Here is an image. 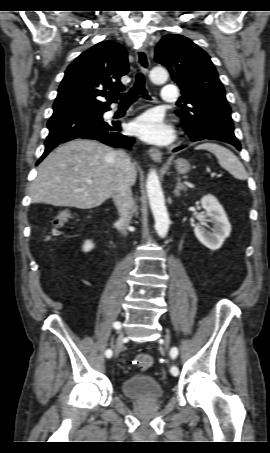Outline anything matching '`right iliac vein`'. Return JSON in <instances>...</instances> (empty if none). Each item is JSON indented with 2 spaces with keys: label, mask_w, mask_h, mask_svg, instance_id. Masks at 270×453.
I'll use <instances>...</instances> for the list:
<instances>
[{
  "label": "right iliac vein",
  "mask_w": 270,
  "mask_h": 453,
  "mask_svg": "<svg viewBox=\"0 0 270 453\" xmlns=\"http://www.w3.org/2000/svg\"><path fill=\"white\" fill-rule=\"evenodd\" d=\"M123 348V335L121 334L115 345V356L117 357Z\"/></svg>",
  "instance_id": "right-iliac-vein-1"
}]
</instances>
